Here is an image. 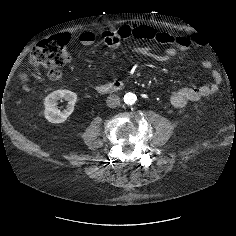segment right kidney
<instances>
[{
	"label": "right kidney",
	"instance_id": "obj_1",
	"mask_svg": "<svg viewBox=\"0 0 236 236\" xmlns=\"http://www.w3.org/2000/svg\"><path fill=\"white\" fill-rule=\"evenodd\" d=\"M64 99L68 101L67 108L61 111L57 107V102ZM77 101V94L69 90H56L50 93L44 100V115L51 123H62L67 120L74 110Z\"/></svg>",
	"mask_w": 236,
	"mask_h": 236
}]
</instances>
